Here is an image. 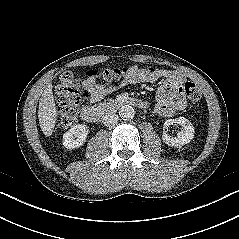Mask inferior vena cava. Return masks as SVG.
<instances>
[{"label":"inferior vena cava","instance_id":"obj_1","mask_svg":"<svg viewBox=\"0 0 239 239\" xmlns=\"http://www.w3.org/2000/svg\"><path fill=\"white\" fill-rule=\"evenodd\" d=\"M119 117L116 113L108 112L102 117V122L105 126H114Z\"/></svg>","mask_w":239,"mask_h":239}]
</instances>
